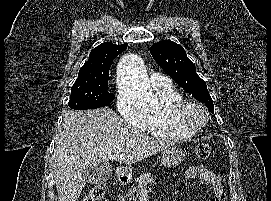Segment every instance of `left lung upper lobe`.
Instances as JSON below:
<instances>
[{"label": "left lung upper lobe", "mask_w": 271, "mask_h": 201, "mask_svg": "<svg viewBox=\"0 0 271 201\" xmlns=\"http://www.w3.org/2000/svg\"><path fill=\"white\" fill-rule=\"evenodd\" d=\"M150 52L158 65L185 91L204 103L211 113L214 105L206 83L197 73L195 65L187 57L184 48L170 40L153 44Z\"/></svg>", "instance_id": "5c2ea615"}]
</instances>
